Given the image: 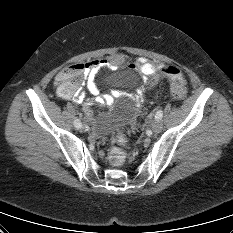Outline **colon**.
<instances>
[{"mask_svg":"<svg viewBox=\"0 0 233 233\" xmlns=\"http://www.w3.org/2000/svg\"><path fill=\"white\" fill-rule=\"evenodd\" d=\"M84 71L83 64L71 65L62 69L56 75L58 89L63 94H71L79 89L81 78ZM162 75H166L171 80V93L176 99H183L188 92V82L184 79L181 72L173 66H165L159 70ZM159 77H155L151 86H154ZM126 143L124 132H118L110 151V163L113 166H122L126 161V154L121 148Z\"/></svg>","mask_w":233,"mask_h":233,"instance_id":"obj_1","label":"colon"}]
</instances>
